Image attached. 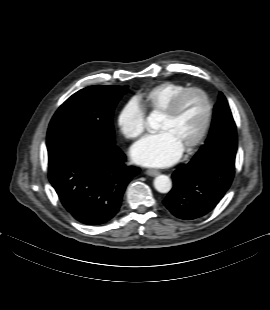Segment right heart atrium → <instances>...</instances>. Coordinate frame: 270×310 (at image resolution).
Masks as SVG:
<instances>
[{
	"label": "right heart atrium",
	"instance_id": "obj_1",
	"mask_svg": "<svg viewBox=\"0 0 270 310\" xmlns=\"http://www.w3.org/2000/svg\"><path fill=\"white\" fill-rule=\"evenodd\" d=\"M146 111L136 99L129 100L118 116V126L127 139H137L146 130Z\"/></svg>",
	"mask_w": 270,
	"mask_h": 310
}]
</instances>
